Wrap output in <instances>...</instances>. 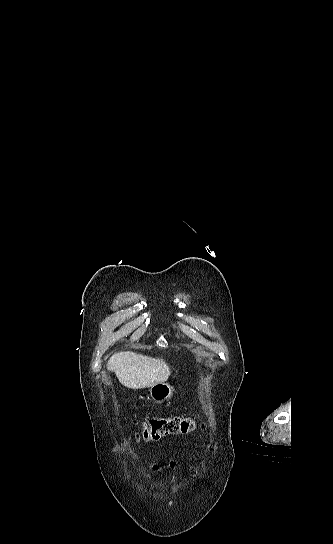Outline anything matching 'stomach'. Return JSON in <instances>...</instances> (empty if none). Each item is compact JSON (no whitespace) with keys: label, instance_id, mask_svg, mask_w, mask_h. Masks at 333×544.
Wrapping results in <instances>:
<instances>
[{"label":"stomach","instance_id":"0dacf381","mask_svg":"<svg viewBox=\"0 0 333 544\" xmlns=\"http://www.w3.org/2000/svg\"><path fill=\"white\" fill-rule=\"evenodd\" d=\"M174 388L168 383H157L150 387V397L157 403H162L168 400L173 394Z\"/></svg>","mask_w":333,"mask_h":544}]
</instances>
